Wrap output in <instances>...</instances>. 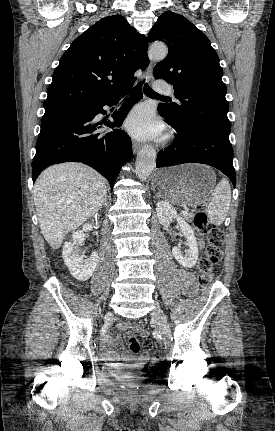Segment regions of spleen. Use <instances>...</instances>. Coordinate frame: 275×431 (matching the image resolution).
Here are the masks:
<instances>
[{
	"mask_svg": "<svg viewBox=\"0 0 275 431\" xmlns=\"http://www.w3.org/2000/svg\"><path fill=\"white\" fill-rule=\"evenodd\" d=\"M231 202V188L226 179H222L212 191L207 206L208 218L211 223L221 225L228 213Z\"/></svg>",
	"mask_w": 275,
	"mask_h": 431,
	"instance_id": "3e777b00",
	"label": "spleen"
}]
</instances>
